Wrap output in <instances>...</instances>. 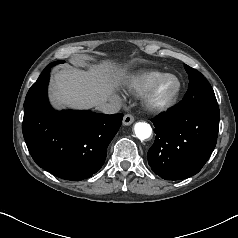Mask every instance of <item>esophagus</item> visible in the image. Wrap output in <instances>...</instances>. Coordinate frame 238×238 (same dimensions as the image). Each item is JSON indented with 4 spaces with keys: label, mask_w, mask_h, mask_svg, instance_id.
I'll list each match as a JSON object with an SVG mask.
<instances>
[{
    "label": "esophagus",
    "mask_w": 238,
    "mask_h": 238,
    "mask_svg": "<svg viewBox=\"0 0 238 238\" xmlns=\"http://www.w3.org/2000/svg\"><path fill=\"white\" fill-rule=\"evenodd\" d=\"M135 118L132 114H126L123 118V124L128 126L134 122Z\"/></svg>",
    "instance_id": "34e87169"
}]
</instances>
